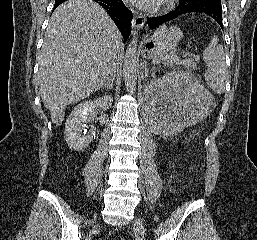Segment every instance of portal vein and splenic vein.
I'll return each instance as SVG.
<instances>
[{
	"mask_svg": "<svg viewBox=\"0 0 257 240\" xmlns=\"http://www.w3.org/2000/svg\"><path fill=\"white\" fill-rule=\"evenodd\" d=\"M161 60H162V61H165V62L168 61V60H177V61H180L178 56H176V57L168 56V57L162 58Z\"/></svg>",
	"mask_w": 257,
	"mask_h": 240,
	"instance_id": "portal-vein-and-splenic-vein-1",
	"label": "portal vein and splenic vein"
}]
</instances>
